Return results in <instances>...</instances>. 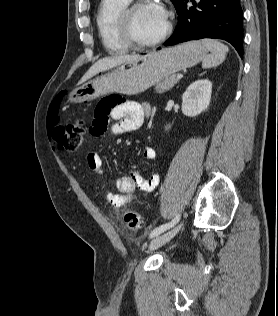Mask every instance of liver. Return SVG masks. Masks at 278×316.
<instances>
[{"label":"liver","mask_w":278,"mask_h":316,"mask_svg":"<svg viewBox=\"0 0 278 316\" xmlns=\"http://www.w3.org/2000/svg\"><path fill=\"white\" fill-rule=\"evenodd\" d=\"M149 55V54H148ZM144 56H141L139 54L134 55H119V56H113V57H106L103 59L98 60L92 67L85 73V75L81 78L78 84H81L88 79L92 78L96 74L109 70L113 67L125 64V63H131L135 62L139 59H141Z\"/></svg>","instance_id":"liver-1"}]
</instances>
